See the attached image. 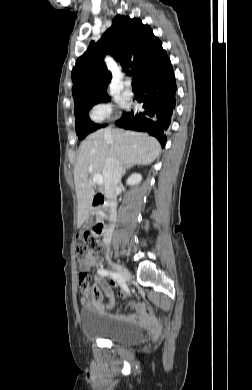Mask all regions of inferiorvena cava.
Listing matches in <instances>:
<instances>
[{
	"instance_id": "obj_1",
	"label": "inferior vena cava",
	"mask_w": 252,
	"mask_h": 390,
	"mask_svg": "<svg viewBox=\"0 0 252 390\" xmlns=\"http://www.w3.org/2000/svg\"><path fill=\"white\" fill-rule=\"evenodd\" d=\"M123 173V165L116 158H107L102 174L104 177V192L106 205L112 214L116 210V198L119 191V184ZM112 237V229H106L104 232L103 242L109 250Z\"/></svg>"
}]
</instances>
